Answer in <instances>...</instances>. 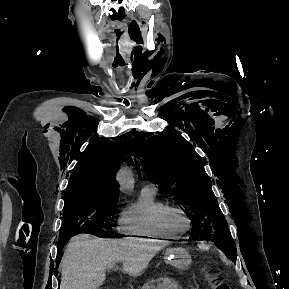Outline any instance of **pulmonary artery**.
<instances>
[{"mask_svg": "<svg viewBox=\"0 0 289 289\" xmlns=\"http://www.w3.org/2000/svg\"><path fill=\"white\" fill-rule=\"evenodd\" d=\"M142 189H145V190H157V187H156V185L154 183L148 182V183L143 184V188Z\"/></svg>", "mask_w": 289, "mask_h": 289, "instance_id": "1", "label": "pulmonary artery"}]
</instances>
